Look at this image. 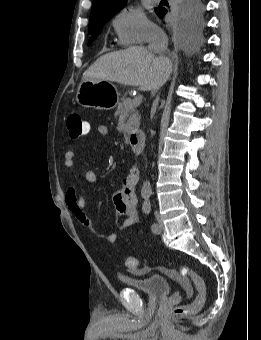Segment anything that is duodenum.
Instances as JSON below:
<instances>
[{
  "label": "duodenum",
  "instance_id": "1",
  "mask_svg": "<svg viewBox=\"0 0 261 340\" xmlns=\"http://www.w3.org/2000/svg\"><path fill=\"white\" fill-rule=\"evenodd\" d=\"M129 144L131 146L132 151L139 155L144 150L145 145V137L142 132H135L129 136Z\"/></svg>",
  "mask_w": 261,
  "mask_h": 340
}]
</instances>
